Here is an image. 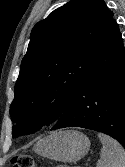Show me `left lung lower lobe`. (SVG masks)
I'll use <instances>...</instances> for the list:
<instances>
[{"instance_id":"0a47b994","label":"left lung lower lobe","mask_w":125,"mask_h":167,"mask_svg":"<svg viewBox=\"0 0 125 167\" xmlns=\"http://www.w3.org/2000/svg\"><path fill=\"white\" fill-rule=\"evenodd\" d=\"M65 127L105 133L125 148V48L115 20L88 74L51 130Z\"/></svg>"}]
</instances>
